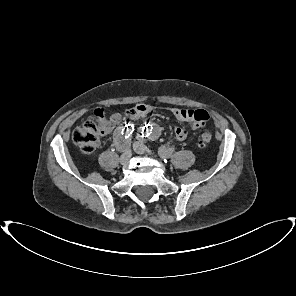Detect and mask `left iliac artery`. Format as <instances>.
Returning <instances> with one entry per match:
<instances>
[{"mask_svg": "<svg viewBox=\"0 0 296 296\" xmlns=\"http://www.w3.org/2000/svg\"><path fill=\"white\" fill-rule=\"evenodd\" d=\"M149 125H145L138 134V138L139 139H144V140H152L153 139V132L152 129H150V127H148Z\"/></svg>", "mask_w": 296, "mask_h": 296, "instance_id": "left-iliac-artery-1", "label": "left iliac artery"}]
</instances>
